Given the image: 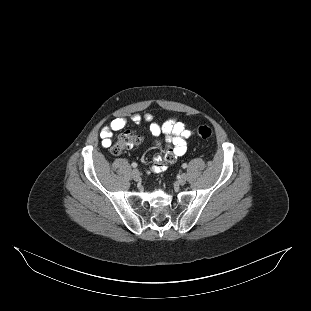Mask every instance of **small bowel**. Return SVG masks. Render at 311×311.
I'll return each mask as SVG.
<instances>
[{
    "label": "small bowel",
    "instance_id": "c3829d8e",
    "mask_svg": "<svg viewBox=\"0 0 311 311\" xmlns=\"http://www.w3.org/2000/svg\"><path fill=\"white\" fill-rule=\"evenodd\" d=\"M139 115H133L132 121L136 124L142 121ZM144 119L149 121L148 115ZM127 124V120L123 117L115 118L109 125L104 127L100 132V138L104 147H110L112 143L113 133L123 129ZM150 131L154 135L164 134L165 143L170 148L163 156L157 155L154 158L155 165L153 171L161 172L164 169L163 162L174 163L179 157L183 156L188 148V139L192 132L185 126L184 123L175 118H170L163 124L152 122L150 124Z\"/></svg>",
    "mask_w": 311,
    "mask_h": 311
}]
</instances>
